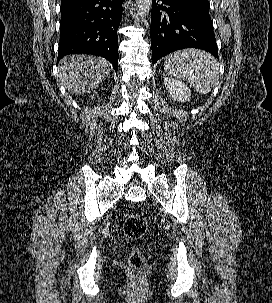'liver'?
<instances>
[{"label":"liver","instance_id":"obj_1","mask_svg":"<svg viewBox=\"0 0 272 303\" xmlns=\"http://www.w3.org/2000/svg\"><path fill=\"white\" fill-rule=\"evenodd\" d=\"M110 73V63L92 55H70L59 64L58 76L72 95L88 93Z\"/></svg>","mask_w":272,"mask_h":303}]
</instances>
